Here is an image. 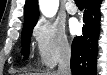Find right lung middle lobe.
I'll return each mask as SVG.
<instances>
[{
	"mask_svg": "<svg viewBox=\"0 0 107 75\" xmlns=\"http://www.w3.org/2000/svg\"><path fill=\"white\" fill-rule=\"evenodd\" d=\"M36 23H26L23 26L22 30V39L21 44L23 49L21 50L22 55L24 56V59H27L29 56V45H30V39L33 31V27Z\"/></svg>",
	"mask_w": 107,
	"mask_h": 75,
	"instance_id": "dd1d6c3e",
	"label": "right lung middle lobe"
}]
</instances>
